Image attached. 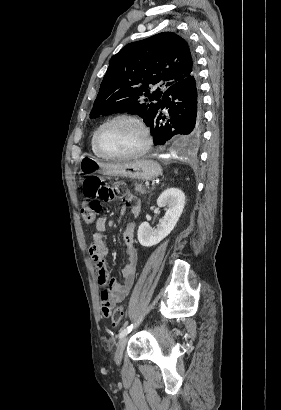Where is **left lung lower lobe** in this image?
<instances>
[{
    "mask_svg": "<svg viewBox=\"0 0 281 410\" xmlns=\"http://www.w3.org/2000/svg\"><path fill=\"white\" fill-rule=\"evenodd\" d=\"M166 108L168 119L161 109ZM201 97L197 71L171 85L158 101L157 112L149 122L155 145H164L173 136L184 146L196 144L201 137Z\"/></svg>",
    "mask_w": 281,
    "mask_h": 410,
    "instance_id": "obj_1",
    "label": "left lung lower lobe"
}]
</instances>
